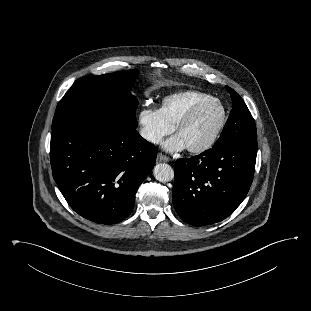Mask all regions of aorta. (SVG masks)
<instances>
[{
	"instance_id": "aorta-1",
	"label": "aorta",
	"mask_w": 311,
	"mask_h": 311,
	"mask_svg": "<svg viewBox=\"0 0 311 311\" xmlns=\"http://www.w3.org/2000/svg\"><path fill=\"white\" fill-rule=\"evenodd\" d=\"M154 177L160 182H169L174 178V170L166 163H159L154 167Z\"/></svg>"
}]
</instances>
